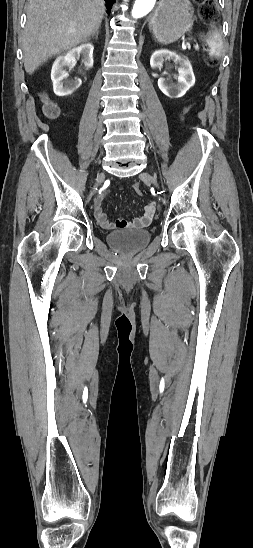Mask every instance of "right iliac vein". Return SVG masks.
Here are the masks:
<instances>
[{"label": "right iliac vein", "instance_id": "obj_1", "mask_svg": "<svg viewBox=\"0 0 253 548\" xmlns=\"http://www.w3.org/2000/svg\"><path fill=\"white\" fill-rule=\"evenodd\" d=\"M102 179H103V173H98V174H97V177H96V182H95L94 187H98L99 184L101 183ZM93 194H94V189H93V191L91 192V195H93Z\"/></svg>", "mask_w": 253, "mask_h": 548}]
</instances>
